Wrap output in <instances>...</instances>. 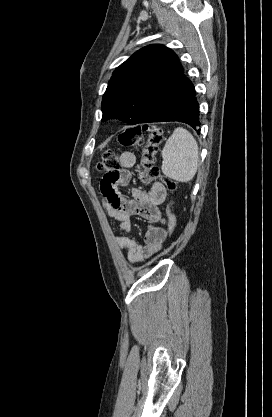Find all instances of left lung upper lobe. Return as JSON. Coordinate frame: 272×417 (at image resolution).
Instances as JSON below:
<instances>
[{"label": "left lung upper lobe", "instance_id": "left-lung-upper-lobe-1", "mask_svg": "<svg viewBox=\"0 0 272 417\" xmlns=\"http://www.w3.org/2000/svg\"><path fill=\"white\" fill-rule=\"evenodd\" d=\"M183 73L171 49L159 44L140 49L113 72L103 95L102 121L141 123Z\"/></svg>", "mask_w": 272, "mask_h": 417}]
</instances>
